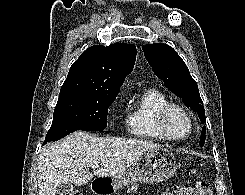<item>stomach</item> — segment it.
Wrapping results in <instances>:
<instances>
[{"mask_svg": "<svg viewBox=\"0 0 245 195\" xmlns=\"http://www.w3.org/2000/svg\"><path fill=\"white\" fill-rule=\"evenodd\" d=\"M177 167V160L171 151H147L125 171L110 177L108 184L116 191L138 183H160L172 177Z\"/></svg>", "mask_w": 245, "mask_h": 195, "instance_id": "0dacf381", "label": "stomach"}]
</instances>
